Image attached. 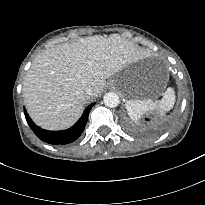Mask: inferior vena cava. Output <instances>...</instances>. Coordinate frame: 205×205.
<instances>
[{
  "mask_svg": "<svg viewBox=\"0 0 205 205\" xmlns=\"http://www.w3.org/2000/svg\"><path fill=\"white\" fill-rule=\"evenodd\" d=\"M85 92L87 95H92V89L90 87H87Z\"/></svg>",
  "mask_w": 205,
  "mask_h": 205,
  "instance_id": "obj_1",
  "label": "inferior vena cava"
}]
</instances>
